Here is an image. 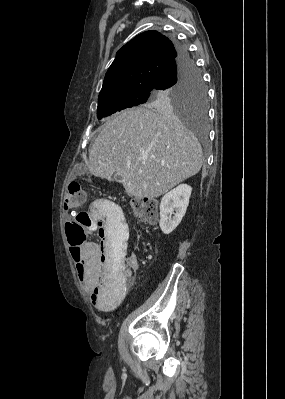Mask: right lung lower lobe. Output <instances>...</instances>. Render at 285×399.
Returning a JSON list of instances; mask_svg holds the SVG:
<instances>
[{"mask_svg": "<svg viewBox=\"0 0 285 399\" xmlns=\"http://www.w3.org/2000/svg\"><path fill=\"white\" fill-rule=\"evenodd\" d=\"M177 57L173 60L160 75L154 89H164L174 83L184 74V72L194 66L193 60L184 46L176 45Z\"/></svg>", "mask_w": 285, "mask_h": 399, "instance_id": "right-lung-lower-lobe-1", "label": "right lung lower lobe"}]
</instances>
